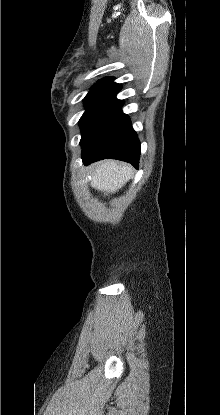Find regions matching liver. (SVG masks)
Instances as JSON below:
<instances>
[{
  "instance_id": "6515ba94",
  "label": "liver",
  "mask_w": 220,
  "mask_h": 415,
  "mask_svg": "<svg viewBox=\"0 0 220 415\" xmlns=\"http://www.w3.org/2000/svg\"><path fill=\"white\" fill-rule=\"evenodd\" d=\"M92 168L91 186L102 192H117L133 176V169L130 165L114 160L100 162Z\"/></svg>"
}]
</instances>
